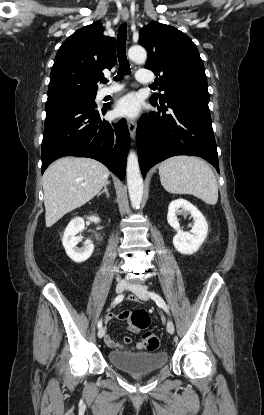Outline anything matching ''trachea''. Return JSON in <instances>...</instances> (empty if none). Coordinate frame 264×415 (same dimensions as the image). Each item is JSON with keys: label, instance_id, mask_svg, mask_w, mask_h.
Instances as JSON below:
<instances>
[{"label": "trachea", "instance_id": "obj_1", "mask_svg": "<svg viewBox=\"0 0 264 415\" xmlns=\"http://www.w3.org/2000/svg\"><path fill=\"white\" fill-rule=\"evenodd\" d=\"M126 38H127V25L123 23L118 32L117 40V56L119 62V70L114 78L115 81L121 80L124 75L130 74V64L126 55ZM102 83H107L106 79L101 80ZM153 87V85H151Z\"/></svg>", "mask_w": 264, "mask_h": 415}]
</instances>
